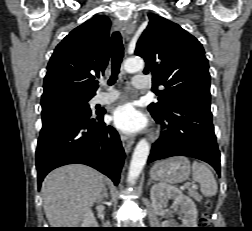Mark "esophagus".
<instances>
[{"label": "esophagus", "instance_id": "esophagus-1", "mask_svg": "<svg viewBox=\"0 0 252 231\" xmlns=\"http://www.w3.org/2000/svg\"><path fill=\"white\" fill-rule=\"evenodd\" d=\"M114 25L117 30H120L123 33L125 27H124V23L122 21L116 20ZM120 139H121L122 146H123L125 152L128 153L131 150V147L134 143V139L127 137L125 135H121Z\"/></svg>", "mask_w": 252, "mask_h": 231}]
</instances>
